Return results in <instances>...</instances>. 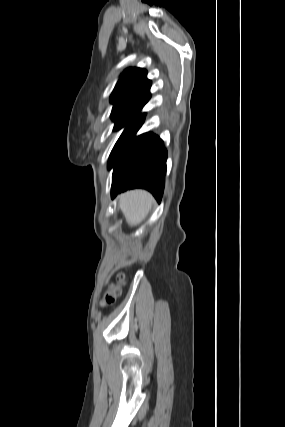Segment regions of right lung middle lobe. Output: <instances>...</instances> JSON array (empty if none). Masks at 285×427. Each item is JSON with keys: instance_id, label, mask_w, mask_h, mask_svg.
<instances>
[{"instance_id": "obj_1", "label": "right lung middle lobe", "mask_w": 285, "mask_h": 427, "mask_svg": "<svg viewBox=\"0 0 285 427\" xmlns=\"http://www.w3.org/2000/svg\"><path fill=\"white\" fill-rule=\"evenodd\" d=\"M112 119L115 121L114 130H118L124 126H126L124 132L118 139L115 144L112 153L109 158L108 167L111 168L117 159L121 149L126 144L128 139L132 136V134L136 131V129L141 125L144 120V114H122L112 116Z\"/></svg>"}]
</instances>
